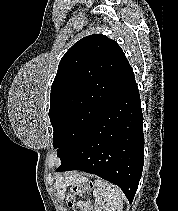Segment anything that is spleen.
<instances>
[{"instance_id":"3e777b00","label":"spleen","mask_w":178,"mask_h":211,"mask_svg":"<svg viewBox=\"0 0 178 211\" xmlns=\"http://www.w3.org/2000/svg\"><path fill=\"white\" fill-rule=\"evenodd\" d=\"M94 186L96 211H123L124 194L117 186L102 179L95 180Z\"/></svg>"}]
</instances>
